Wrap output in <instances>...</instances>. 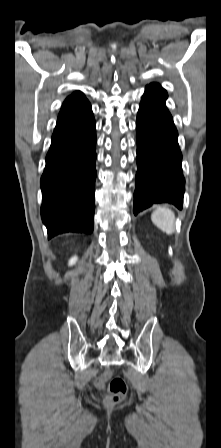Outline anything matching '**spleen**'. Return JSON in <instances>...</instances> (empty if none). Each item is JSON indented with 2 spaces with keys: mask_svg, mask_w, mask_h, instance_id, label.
I'll return each mask as SVG.
<instances>
[{
  "mask_svg": "<svg viewBox=\"0 0 221 448\" xmlns=\"http://www.w3.org/2000/svg\"><path fill=\"white\" fill-rule=\"evenodd\" d=\"M151 219L161 231L168 235L175 232V215L174 212L166 207H158L151 214Z\"/></svg>",
  "mask_w": 221,
  "mask_h": 448,
  "instance_id": "obj_1",
  "label": "spleen"
}]
</instances>
